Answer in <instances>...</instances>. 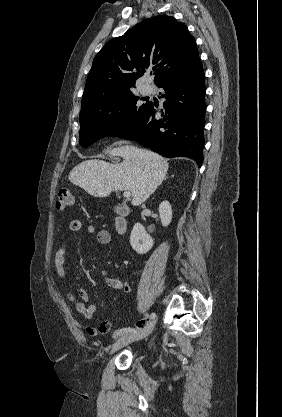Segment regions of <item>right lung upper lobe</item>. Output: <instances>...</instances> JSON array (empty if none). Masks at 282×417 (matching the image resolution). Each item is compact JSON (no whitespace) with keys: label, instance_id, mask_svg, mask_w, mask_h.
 Masks as SVG:
<instances>
[{"label":"right lung upper lobe","instance_id":"obj_1","mask_svg":"<svg viewBox=\"0 0 282 417\" xmlns=\"http://www.w3.org/2000/svg\"><path fill=\"white\" fill-rule=\"evenodd\" d=\"M199 59L195 39L183 23L167 15L145 19L123 36L110 40L96 55L82 100L130 90L154 65L157 85Z\"/></svg>","mask_w":282,"mask_h":417}]
</instances>
